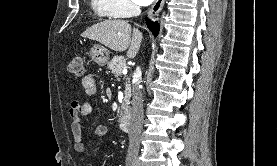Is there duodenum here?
I'll return each mask as SVG.
<instances>
[{"mask_svg":"<svg viewBox=\"0 0 277 166\" xmlns=\"http://www.w3.org/2000/svg\"><path fill=\"white\" fill-rule=\"evenodd\" d=\"M131 125H132V120H131L130 114L128 113L124 114L120 121V128L123 131L128 132L131 129Z\"/></svg>","mask_w":277,"mask_h":166,"instance_id":"1","label":"duodenum"}]
</instances>
